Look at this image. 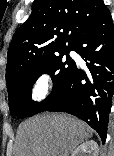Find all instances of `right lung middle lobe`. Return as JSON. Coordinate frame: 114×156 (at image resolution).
<instances>
[{
    "mask_svg": "<svg viewBox=\"0 0 114 156\" xmlns=\"http://www.w3.org/2000/svg\"><path fill=\"white\" fill-rule=\"evenodd\" d=\"M69 51L44 61L13 80L8 87L9 108L13 115L22 118L32 116L45 111L58 98L76 65L70 58ZM63 55H66V61L62 59ZM43 73L52 77L54 85L51 94L41 103H37L31 99V90L35 81Z\"/></svg>",
    "mask_w": 114,
    "mask_h": 156,
    "instance_id": "right-lung-middle-lobe-1",
    "label": "right lung middle lobe"
}]
</instances>
